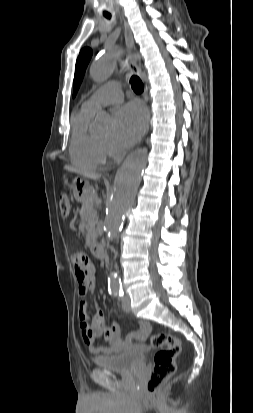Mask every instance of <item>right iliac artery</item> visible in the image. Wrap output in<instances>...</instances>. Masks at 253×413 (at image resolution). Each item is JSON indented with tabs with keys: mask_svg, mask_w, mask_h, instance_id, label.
<instances>
[{
	"mask_svg": "<svg viewBox=\"0 0 253 413\" xmlns=\"http://www.w3.org/2000/svg\"><path fill=\"white\" fill-rule=\"evenodd\" d=\"M119 292L120 291H118V290H114V291L110 292V294L116 297L119 294Z\"/></svg>",
	"mask_w": 253,
	"mask_h": 413,
	"instance_id": "obj_1",
	"label": "right iliac artery"
}]
</instances>
